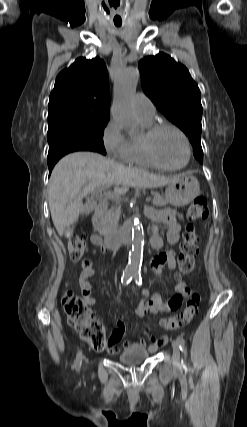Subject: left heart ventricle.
<instances>
[{"instance_id":"1","label":"left heart ventricle","mask_w":247,"mask_h":427,"mask_svg":"<svg viewBox=\"0 0 247 427\" xmlns=\"http://www.w3.org/2000/svg\"><path fill=\"white\" fill-rule=\"evenodd\" d=\"M154 152L162 164L170 167L180 166L186 158L182 138L170 128L163 129L157 134L154 140Z\"/></svg>"}]
</instances>
